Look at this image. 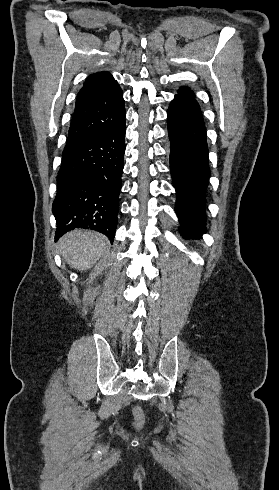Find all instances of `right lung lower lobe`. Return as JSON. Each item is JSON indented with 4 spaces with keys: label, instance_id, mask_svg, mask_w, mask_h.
<instances>
[{
    "label": "right lung lower lobe",
    "instance_id": "98d812e1",
    "mask_svg": "<svg viewBox=\"0 0 279 490\" xmlns=\"http://www.w3.org/2000/svg\"><path fill=\"white\" fill-rule=\"evenodd\" d=\"M125 120L87 141L67 146L52 205L57 241L75 228L95 230L113 243L124 166Z\"/></svg>",
    "mask_w": 279,
    "mask_h": 490
}]
</instances>
